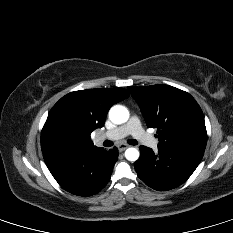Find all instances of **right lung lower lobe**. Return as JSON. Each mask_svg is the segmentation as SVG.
Here are the masks:
<instances>
[{"mask_svg": "<svg viewBox=\"0 0 233 233\" xmlns=\"http://www.w3.org/2000/svg\"><path fill=\"white\" fill-rule=\"evenodd\" d=\"M44 161L59 185L78 196L99 192L110 180L118 159V149L94 148L77 152L57 150L43 155Z\"/></svg>", "mask_w": 233, "mask_h": 233, "instance_id": "98d812e1", "label": "right lung lower lobe"}]
</instances>
